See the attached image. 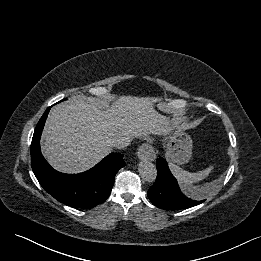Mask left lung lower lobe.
Listing matches in <instances>:
<instances>
[{
    "mask_svg": "<svg viewBox=\"0 0 261 261\" xmlns=\"http://www.w3.org/2000/svg\"><path fill=\"white\" fill-rule=\"evenodd\" d=\"M156 166L157 178L148 190V197L155 206L164 210H180L203 202V200L199 201L195 199V196L181 191L165 159L158 158Z\"/></svg>",
    "mask_w": 261,
    "mask_h": 261,
    "instance_id": "0a47b994",
    "label": "left lung lower lobe"
}]
</instances>
